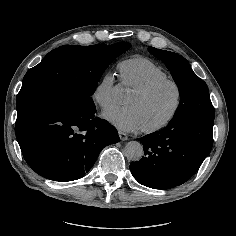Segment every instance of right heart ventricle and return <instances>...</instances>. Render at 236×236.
<instances>
[{
    "instance_id": "e07e8e85",
    "label": "right heart ventricle",
    "mask_w": 236,
    "mask_h": 236,
    "mask_svg": "<svg viewBox=\"0 0 236 236\" xmlns=\"http://www.w3.org/2000/svg\"><path fill=\"white\" fill-rule=\"evenodd\" d=\"M118 68L122 83L132 90L143 88L157 80L170 78L163 67L141 56L121 61Z\"/></svg>"
}]
</instances>
